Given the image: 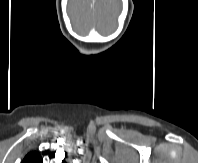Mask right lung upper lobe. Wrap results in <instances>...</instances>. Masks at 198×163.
<instances>
[{
  "label": "right lung upper lobe",
  "mask_w": 198,
  "mask_h": 163,
  "mask_svg": "<svg viewBox=\"0 0 198 163\" xmlns=\"http://www.w3.org/2000/svg\"><path fill=\"white\" fill-rule=\"evenodd\" d=\"M21 163H43L40 154L36 151L29 152Z\"/></svg>",
  "instance_id": "right-lung-upper-lobe-1"
}]
</instances>
